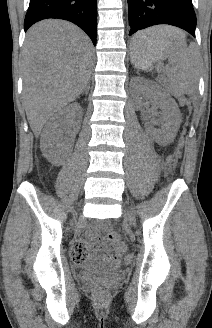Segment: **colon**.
I'll return each mask as SVG.
<instances>
[{
  "mask_svg": "<svg viewBox=\"0 0 212 328\" xmlns=\"http://www.w3.org/2000/svg\"><path fill=\"white\" fill-rule=\"evenodd\" d=\"M175 163V160H171V164L173 165ZM106 236L108 240L111 242L112 246L119 252L123 253L126 250L125 244L122 242L121 237L118 233L110 230H105ZM72 258L75 262H81L79 255L76 253L72 254ZM132 260V257L130 255L125 256V262L129 263ZM95 295L98 298H104L106 296V290L99 288L95 291Z\"/></svg>",
  "mask_w": 212,
  "mask_h": 328,
  "instance_id": "obj_1",
  "label": "colon"
}]
</instances>
